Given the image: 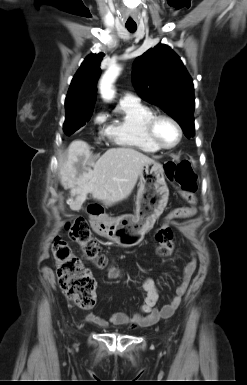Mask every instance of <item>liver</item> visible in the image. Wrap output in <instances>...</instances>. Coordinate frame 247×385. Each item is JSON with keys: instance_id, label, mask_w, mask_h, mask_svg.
<instances>
[{"instance_id": "liver-1", "label": "liver", "mask_w": 247, "mask_h": 385, "mask_svg": "<svg viewBox=\"0 0 247 385\" xmlns=\"http://www.w3.org/2000/svg\"><path fill=\"white\" fill-rule=\"evenodd\" d=\"M153 160L133 148H111L96 162L90 147L82 140L73 141L59 157L60 182L73 198L67 203L79 210L91 193L93 198L112 205L126 199L134 189L146 163Z\"/></svg>"}]
</instances>
